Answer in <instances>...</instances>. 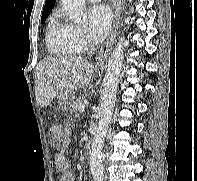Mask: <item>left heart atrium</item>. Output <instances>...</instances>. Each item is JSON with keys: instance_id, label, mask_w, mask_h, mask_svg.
Listing matches in <instances>:
<instances>
[{"instance_id": "left-heart-atrium-1", "label": "left heart atrium", "mask_w": 197, "mask_h": 181, "mask_svg": "<svg viewBox=\"0 0 197 181\" xmlns=\"http://www.w3.org/2000/svg\"><path fill=\"white\" fill-rule=\"evenodd\" d=\"M88 30L90 34L102 39L108 33L112 23V13L106 5H94L87 10Z\"/></svg>"}]
</instances>
